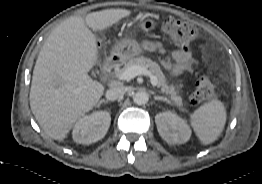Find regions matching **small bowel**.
I'll return each mask as SVG.
<instances>
[{"mask_svg":"<svg viewBox=\"0 0 262 184\" xmlns=\"http://www.w3.org/2000/svg\"><path fill=\"white\" fill-rule=\"evenodd\" d=\"M143 46L162 56V65L174 75H181L188 72L196 64L191 52L187 50L178 49L173 51L169 56H166V50L159 41H145Z\"/></svg>","mask_w":262,"mask_h":184,"instance_id":"obj_1","label":"small bowel"}]
</instances>
